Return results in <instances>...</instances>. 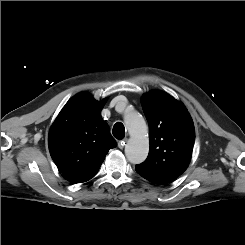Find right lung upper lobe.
Segmentation results:
<instances>
[{
	"instance_id": "right-lung-upper-lobe-1",
	"label": "right lung upper lobe",
	"mask_w": 245,
	"mask_h": 245,
	"mask_svg": "<svg viewBox=\"0 0 245 245\" xmlns=\"http://www.w3.org/2000/svg\"><path fill=\"white\" fill-rule=\"evenodd\" d=\"M105 102L79 93L66 103L51 126L50 155L62 176L72 183L93 178L108 151L117 145L100 115Z\"/></svg>"
}]
</instances>
